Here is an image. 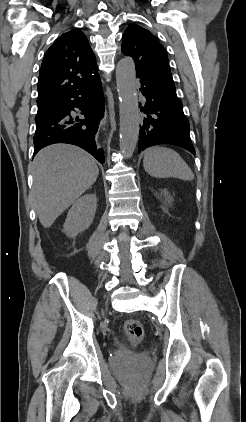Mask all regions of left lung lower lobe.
Masks as SVG:
<instances>
[{
	"instance_id": "left-lung-lower-lobe-1",
	"label": "left lung lower lobe",
	"mask_w": 246,
	"mask_h": 422,
	"mask_svg": "<svg viewBox=\"0 0 246 422\" xmlns=\"http://www.w3.org/2000/svg\"><path fill=\"white\" fill-rule=\"evenodd\" d=\"M137 77L142 85L140 91L146 99L141 107L144 117L139 131L138 151L154 145L172 144L195 154L181 101L150 80Z\"/></svg>"
}]
</instances>
